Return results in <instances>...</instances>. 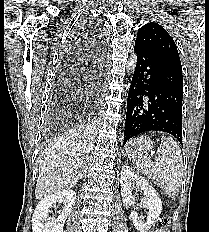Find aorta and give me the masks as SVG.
I'll return each mask as SVG.
<instances>
[{"instance_id": "aorta-1", "label": "aorta", "mask_w": 209, "mask_h": 232, "mask_svg": "<svg viewBox=\"0 0 209 232\" xmlns=\"http://www.w3.org/2000/svg\"><path fill=\"white\" fill-rule=\"evenodd\" d=\"M136 62H137V56L135 54L131 55L130 57V61L127 65V69L128 71H130V73H132L136 67Z\"/></svg>"}]
</instances>
